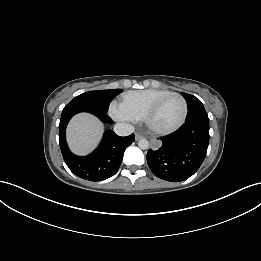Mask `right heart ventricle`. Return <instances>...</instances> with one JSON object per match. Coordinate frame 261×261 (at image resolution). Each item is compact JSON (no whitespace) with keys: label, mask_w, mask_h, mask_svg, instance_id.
I'll use <instances>...</instances> for the list:
<instances>
[{"label":"right heart ventricle","mask_w":261,"mask_h":261,"mask_svg":"<svg viewBox=\"0 0 261 261\" xmlns=\"http://www.w3.org/2000/svg\"><path fill=\"white\" fill-rule=\"evenodd\" d=\"M166 89H145L129 91L122 95L120 107L135 121L143 119L148 108L160 97L169 93Z\"/></svg>","instance_id":"obj_1"}]
</instances>
